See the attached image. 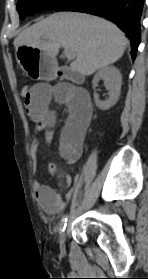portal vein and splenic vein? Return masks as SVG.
Masks as SVG:
<instances>
[{
    "label": "portal vein and splenic vein",
    "mask_w": 148,
    "mask_h": 279,
    "mask_svg": "<svg viewBox=\"0 0 148 279\" xmlns=\"http://www.w3.org/2000/svg\"><path fill=\"white\" fill-rule=\"evenodd\" d=\"M64 56L68 59V60H73L74 59V53L71 49L65 48L64 49Z\"/></svg>",
    "instance_id": "1"
}]
</instances>
